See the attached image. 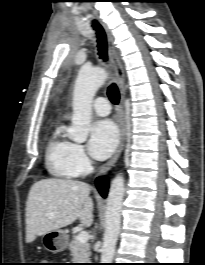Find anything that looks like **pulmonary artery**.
I'll return each mask as SVG.
<instances>
[{
    "instance_id": "1",
    "label": "pulmonary artery",
    "mask_w": 205,
    "mask_h": 265,
    "mask_svg": "<svg viewBox=\"0 0 205 265\" xmlns=\"http://www.w3.org/2000/svg\"><path fill=\"white\" fill-rule=\"evenodd\" d=\"M93 110L100 116H106L110 113V105L106 98H97L93 103Z\"/></svg>"
}]
</instances>
